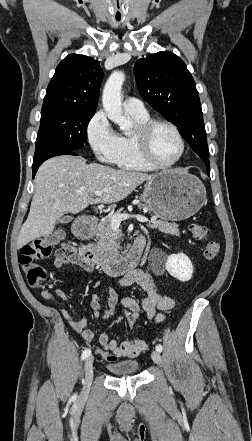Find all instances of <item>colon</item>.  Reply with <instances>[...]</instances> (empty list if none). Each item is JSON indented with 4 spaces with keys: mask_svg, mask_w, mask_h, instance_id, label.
<instances>
[{
    "mask_svg": "<svg viewBox=\"0 0 252 441\" xmlns=\"http://www.w3.org/2000/svg\"><path fill=\"white\" fill-rule=\"evenodd\" d=\"M189 230L192 238L195 240H205L210 233V229L207 226L199 223L191 224ZM61 240L62 232L55 231L45 237L27 243L21 248L18 260L30 286L37 287L46 279L47 272L37 261L48 258L54 247L57 246ZM220 250L221 247L218 242L208 241L204 248V257L207 260H213L218 257ZM139 316L140 310L133 305H110L101 312V317L104 320L120 317L127 321L131 327L136 326ZM99 354L109 361H114L117 358L107 351H99Z\"/></svg>",
    "mask_w": 252,
    "mask_h": 441,
    "instance_id": "1",
    "label": "colon"
}]
</instances>
